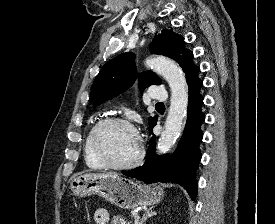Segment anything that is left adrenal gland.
<instances>
[{
    "label": "left adrenal gland",
    "mask_w": 275,
    "mask_h": 224,
    "mask_svg": "<svg viewBox=\"0 0 275 224\" xmlns=\"http://www.w3.org/2000/svg\"><path fill=\"white\" fill-rule=\"evenodd\" d=\"M152 209H153V207H151V208H149V209H147V210L145 211V213H144L143 216H142V219L140 220V222H139L138 224H144V223L147 221L148 218H150V217H152V216H154V215L157 214V213H156L155 211H153Z\"/></svg>",
    "instance_id": "obj_1"
}]
</instances>
